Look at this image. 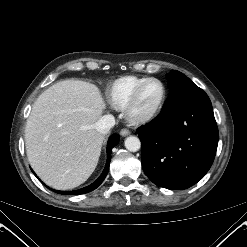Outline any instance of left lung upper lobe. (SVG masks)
<instances>
[{
	"label": "left lung upper lobe",
	"mask_w": 247,
	"mask_h": 247,
	"mask_svg": "<svg viewBox=\"0 0 247 247\" xmlns=\"http://www.w3.org/2000/svg\"><path fill=\"white\" fill-rule=\"evenodd\" d=\"M169 94H173L183 90L194 89L196 86L188 77L183 73L172 70L167 75Z\"/></svg>",
	"instance_id": "1"
}]
</instances>
